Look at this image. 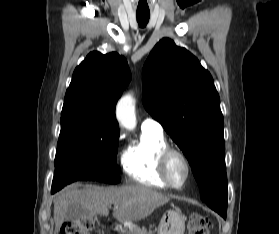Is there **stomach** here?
<instances>
[{
	"mask_svg": "<svg viewBox=\"0 0 279 234\" xmlns=\"http://www.w3.org/2000/svg\"><path fill=\"white\" fill-rule=\"evenodd\" d=\"M186 217L178 210L167 211L158 226V234H184ZM122 234H146L133 222L117 225Z\"/></svg>",
	"mask_w": 279,
	"mask_h": 234,
	"instance_id": "0dacf381",
	"label": "stomach"
}]
</instances>
